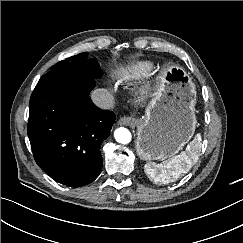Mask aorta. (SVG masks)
<instances>
[{"mask_svg":"<svg viewBox=\"0 0 243 243\" xmlns=\"http://www.w3.org/2000/svg\"><path fill=\"white\" fill-rule=\"evenodd\" d=\"M114 137L115 140L121 144H128L132 139L130 131L124 127L116 129L114 132Z\"/></svg>","mask_w":243,"mask_h":243,"instance_id":"762f6f07","label":"aorta"}]
</instances>
